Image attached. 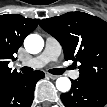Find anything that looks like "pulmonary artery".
Returning <instances> with one entry per match:
<instances>
[{"instance_id": "e3ab8cb5", "label": "pulmonary artery", "mask_w": 107, "mask_h": 107, "mask_svg": "<svg viewBox=\"0 0 107 107\" xmlns=\"http://www.w3.org/2000/svg\"><path fill=\"white\" fill-rule=\"evenodd\" d=\"M60 52L61 47L59 43L54 38L48 37L43 52L39 56L31 59L29 61V65L35 68L43 67L48 62L56 60ZM72 76L77 78L79 76V72L77 70L73 71Z\"/></svg>"}]
</instances>
